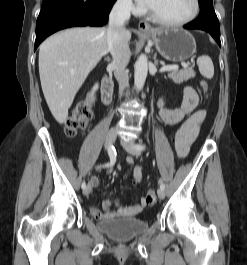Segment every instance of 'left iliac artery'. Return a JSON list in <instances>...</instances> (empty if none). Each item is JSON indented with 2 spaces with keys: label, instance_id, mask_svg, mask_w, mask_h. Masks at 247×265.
Returning a JSON list of instances; mask_svg holds the SVG:
<instances>
[{
  "label": "left iliac artery",
  "instance_id": "obj_1",
  "mask_svg": "<svg viewBox=\"0 0 247 265\" xmlns=\"http://www.w3.org/2000/svg\"><path fill=\"white\" fill-rule=\"evenodd\" d=\"M135 147L140 151L145 150V148H146L145 145L142 143L136 144ZM160 188L163 190L165 189V185L162 181H160Z\"/></svg>",
  "mask_w": 247,
  "mask_h": 265
}]
</instances>
